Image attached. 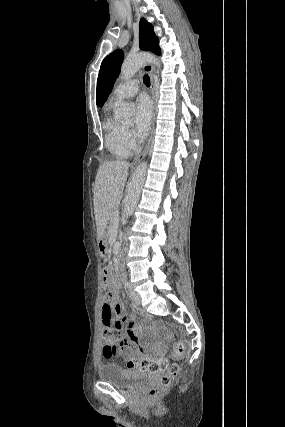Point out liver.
I'll list each match as a JSON object with an SVG mask.
<instances>
[{
    "label": "liver",
    "mask_w": 285,
    "mask_h": 427,
    "mask_svg": "<svg viewBox=\"0 0 285 427\" xmlns=\"http://www.w3.org/2000/svg\"><path fill=\"white\" fill-rule=\"evenodd\" d=\"M129 163L104 162L98 168L94 185V214L97 234L101 236L110 215L118 207L128 177Z\"/></svg>",
    "instance_id": "1"
}]
</instances>
